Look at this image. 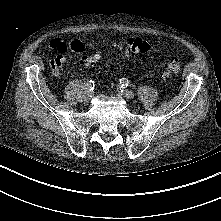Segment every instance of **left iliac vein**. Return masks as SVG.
I'll return each instance as SVG.
<instances>
[{
    "mask_svg": "<svg viewBox=\"0 0 221 221\" xmlns=\"http://www.w3.org/2000/svg\"><path fill=\"white\" fill-rule=\"evenodd\" d=\"M123 95L127 99H133L134 98V93L132 91H129V90H124Z\"/></svg>",
    "mask_w": 221,
    "mask_h": 221,
    "instance_id": "obj_1",
    "label": "left iliac vein"
}]
</instances>
